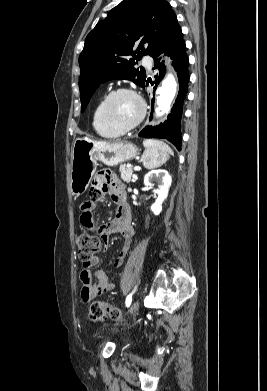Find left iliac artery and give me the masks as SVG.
I'll list each match as a JSON object with an SVG mask.
<instances>
[{
    "mask_svg": "<svg viewBox=\"0 0 267 391\" xmlns=\"http://www.w3.org/2000/svg\"><path fill=\"white\" fill-rule=\"evenodd\" d=\"M132 302V294L128 295L126 298V306L129 307Z\"/></svg>",
    "mask_w": 267,
    "mask_h": 391,
    "instance_id": "obj_1",
    "label": "left iliac artery"
}]
</instances>
